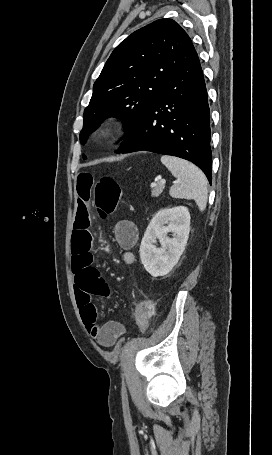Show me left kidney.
<instances>
[{"label": "left kidney", "mask_w": 272, "mask_h": 455, "mask_svg": "<svg viewBox=\"0 0 272 455\" xmlns=\"http://www.w3.org/2000/svg\"><path fill=\"white\" fill-rule=\"evenodd\" d=\"M190 219L184 206L164 208L153 216L139 251L145 270L153 277L167 275L177 264L187 244ZM169 232L173 238L167 236ZM156 239L161 243L160 248L155 246Z\"/></svg>", "instance_id": "1"}]
</instances>
